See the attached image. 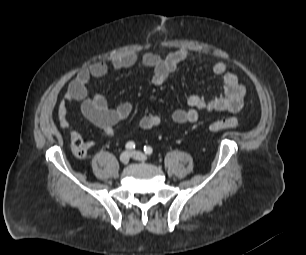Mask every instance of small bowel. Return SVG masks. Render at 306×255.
I'll use <instances>...</instances> for the list:
<instances>
[{"label": "small bowel", "mask_w": 306, "mask_h": 255, "mask_svg": "<svg viewBox=\"0 0 306 255\" xmlns=\"http://www.w3.org/2000/svg\"><path fill=\"white\" fill-rule=\"evenodd\" d=\"M189 57L186 49H178L167 55L158 53H126L112 58L111 66L116 70L142 66L153 72L152 82L155 85L164 84L178 69L179 65ZM108 72V65L103 61L93 63L80 70L70 82L64 97L60 100L57 110L59 125L68 126L67 105L79 102L83 116L93 125L101 129L108 137L116 134L115 127L128 118L133 106L130 102H123L116 107H110L102 94L88 95V84L92 79H100ZM212 72L220 76L223 81V92L212 98H205L198 94L187 96V109H176L172 113V120L177 124L194 123L198 121L200 112H230L240 111L244 104L245 86L240 83L237 75L227 70L224 62L218 61L212 65ZM161 117L157 114H145L139 120L140 128L149 130L161 124ZM89 147L93 145L88 141Z\"/></svg>", "instance_id": "small-bowel-1"}]
</instances>
